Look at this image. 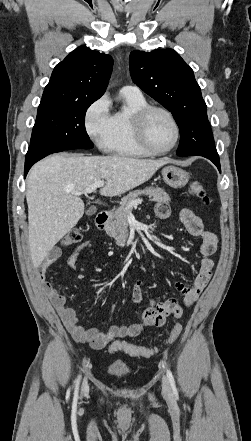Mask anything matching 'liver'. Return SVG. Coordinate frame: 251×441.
<instances>
[{
    "label": "liver",
    "instance_id": "6515ba94",
    "mask_svg": "<svg viewBox=\"0 0 251 441\" xmlns=\"http://www.w3.org/2000/svg\"><path fill=\"white\" fill-rule=\"evenodd\" d=\"M168 159L55 154L38 163L27 177L29 247L34 267L82 218V192L105 180L103 196L121 195L149 180Z\"/></svg>",
    "mask_w": 251,
    "mask_h": 441
}]
</instances>
